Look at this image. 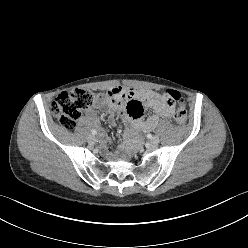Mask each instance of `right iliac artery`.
<instances>
[{
    "label": "right iliac artery",
    "instance_id": "obj_1",
    "mask_svg": "<svg viewBox=\"0 0 248 248\" xmlns=\"http://www.w3.org/2000/svg\"><path fill=\"white\" fill-rule=\"evenodd\" d=\"M92 135H96L97 134V132L95 131V130H92Z\"/></svg>",
    "mask_w": 248,
    "mask_h": 248
}]
</instances>
